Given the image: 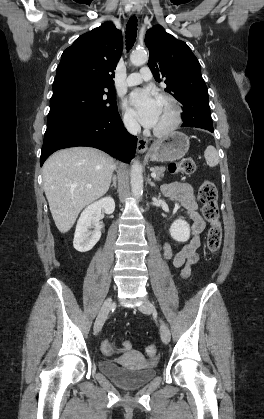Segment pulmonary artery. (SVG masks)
<instances>
[{"label":"pulmonary artery","mask_w":264,"mask_h":419,"mask_svg":"<svg viewBox=\"0 0 264 419\" xmlns=\"http://www.w3.org/2000/svg\"><path fill=\"white\" fill-rule=\"evenodd\" d=\"M151 78V72L148 67H143L139 72L132 73L127 77V85L135 86L140 84L143 81H147Z\"/></svg>","instance_id":"pulmonary-artery-1"}]
</instances>
